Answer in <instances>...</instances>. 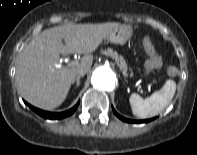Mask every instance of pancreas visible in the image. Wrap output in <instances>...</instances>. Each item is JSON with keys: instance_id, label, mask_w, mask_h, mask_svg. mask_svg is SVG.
Segmentation results:
<instances>
[{"instance_id": "cf45deb5", "label": "pancreas", "mask_w": 197, "mask_h": 155, "mask_svg": "<svg viewBox=\"0 0 197 155\" xmlns=\"http://www.w3.org/2000/svg\"><path fill=\"white\" fill-rule=\"evenodd\" d=\"M102 53L105 54L106 56H110L111 58H113L116 64L119 66V68L123 71V74L125 76L128 75V65L124 60L123 56L118 55V53L116 51H113L111 48L102 50Z\"/></svg>"}]
</instances>
